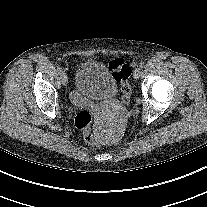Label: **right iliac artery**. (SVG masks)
Listing matches in <instances>:
<instances>
[{"label":"right iliac artery","mask_w":207,"mask_h":207,"mask_svg":"<svg viewBox=\"0 0 207 207\" xmlns=\"http://www.w3.org/2000/svg\"><path fill=\"white\" fill-rule=\"evenodd\" d=\"M58 72H59V74H64V70L61 67L58 68Z\"/></svg>","instance_id":"82829eb1"}]
</instances>
